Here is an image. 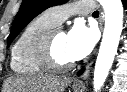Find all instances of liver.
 <instances>
[{"mask_svg": "<svg viewBox=\"0 0 127 92\" xmlns=\"http://www.w3.org/2000/svg\"><path fill=\"white\" fill-rule=\"evenodd\" d=\"M71 83L66 77L15 76L4 81L2 92H64Z\"/></svg>", "mask_w": 127, "mask_h": 92, "instance_id": "6515ba94", "label": "liver"}]
</instances>
